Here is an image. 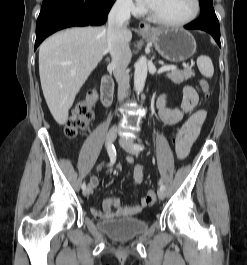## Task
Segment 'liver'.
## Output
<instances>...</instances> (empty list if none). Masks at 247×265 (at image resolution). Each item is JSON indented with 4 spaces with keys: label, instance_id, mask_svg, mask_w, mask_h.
Returning <instances> with one entry per match:
<instances>
[{
    "label": "liver",
    "instance_id": "1",
    "mask_svg": "<svg viewBox=\"0 0 247 265\" xmlns=\"http://www.w3.org/2000/svg\"><path fill=\"white\" fill-rule=\"evenodd\" d=\"M128 42L132 39L127 30ZM106 27H74L46 39L39 48V74L48 108L59 125L91 72L107 53Z\"/></svg>",
    "mask_w": 247,
    "mask_h": 265
}]
</instances>
